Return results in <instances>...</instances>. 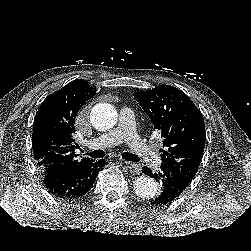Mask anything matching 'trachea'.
<instances>
[{
    "mask_svg": "<svg viewBox=\"0 0 251 251\" xmlns=\"http://www.w3.org/2000/svg\"><path fill=\"white\" fill-rule=\"evenodd\" d=\"M86 154L90 155L92 158H102L105 156V152L103 150H94L93 152ZM122 157L123 159L128 161H133V162L140 161L139 157L129 152H123Z\"/></svg>",
    "mask_w": 251,
    "mask_h": 251,
    "instance_id": "1",
    "label": "trachea"
}]
</instances>
